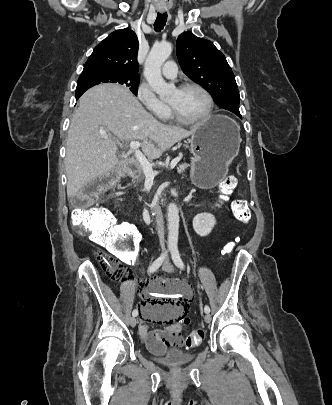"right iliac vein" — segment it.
<instances>
[{
	"label": "right iliac vein",
	"mask_w": 332,
	"mask_h": 405,
	"mask_svg": "<svg viewBox=\"0 0 332 405\" xmlns=\"http://www.w3.org/2000/svg\"><path fill=\"white\" fill-rule=\"evenodd\" d=\"M136 324H137V319H136L135 317H132V318L130 319V325H131L132 327H135Z\"/></svg>",
	"instance_id": "63e3f726"
}]
</instances>
